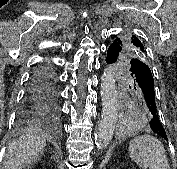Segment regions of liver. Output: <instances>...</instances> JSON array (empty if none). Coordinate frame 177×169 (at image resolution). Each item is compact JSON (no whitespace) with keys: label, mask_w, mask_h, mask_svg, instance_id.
Returning a JSON list of instances; mask_svg holds the SVG:
<instances>
[{"label":"liver","mask_w":177,"mask_h":169,"mask_svg":"<svg viewBox=\"0 0 177 169\" xmlns=\"http://www.w3.org/2000/svg\"><path fill=\"white\" fill-rule=\"evenodd\" d=\"M46 146V136L39 128L29 129L12 141L7 148L3 169H22L36 162L39 153Z\"/></svg>","instance_id":"6515ba94"}]
</instances>
